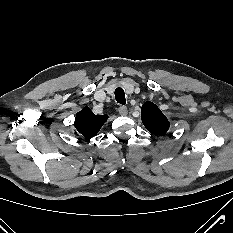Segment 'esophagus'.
<instances>
[{
	"label": "esophagus",
	"mask_w": 233,
	"mask_h": 233,
	"mask_svg": "<svg viewBox=\"0 0 233 233\" xmlns=\"http://www.w3.org/2000/svg\"><path fill=\"white\" fill-rule=\"evenodd\" d=\"M118 112H119L120 115L126 116L127 113H128L127 107L126 106H120L118 108Z\"/></svg>",
	"instance_id": "esophagus-1"
}]
</instances>
